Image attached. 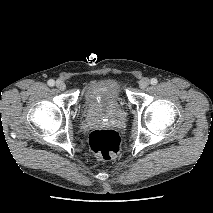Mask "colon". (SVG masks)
<instances>
[{"mask_svg":"<svg viewBox=\"0 0 213 213\" xmlns=\"http://www.w3.org/2000/svg\"><path fill=\"white\" fill-rule=\"evenodd\" d=\"M121 140L113 129H97L89 135V146L94 155L102 160L114 158L120 150Z\"/></svg>","mask_w":213,"mask_h":213,"instance_id":"colon-1","label":"colon"}]
</instances>
